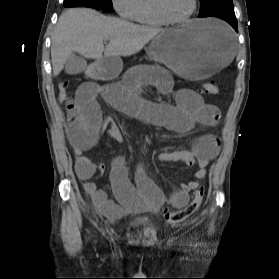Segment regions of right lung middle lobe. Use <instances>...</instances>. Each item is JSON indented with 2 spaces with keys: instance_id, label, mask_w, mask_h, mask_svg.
I'll return each mask as SVG.
<instances>
[{
  "instance_id": "obj_1",
  "label": "right lung middle lobe",
  "mask_w": 279,
  "mask_h": 279,
  "mask_svg": "<svg viewBox=\"0 0 279 279\" xmlns=\"http://www.w3.org/2000/svg\"><path fill=\"white\" fill-rule=\"evenodd\" d=\"M95 3L100 9H103L108 12H112V0H91Z\"/></svg>"
}]
</instances>
